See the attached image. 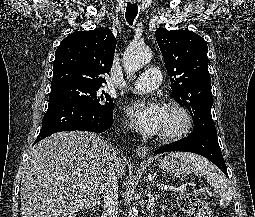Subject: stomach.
I'll use <instances>...</instances> for the list:
<instances>
[{
    "mask_svg": "<svg viewBox=\"0 0 255 217\" xmlns=\"http://www.w3.org/2000/svg\"><path fill=\"white\" fill-rule=\"evenodd\" d=\"M157 165L159 168L166 171L170 176L176 178H184L192 169L187 162L172 156H167L158 160Z\"/></svg>",
    "mask_w": 255,
    "mask_h": 217,
    "instance_id": "0dacf381",
    "label": "stomach"
}]
</instances>
